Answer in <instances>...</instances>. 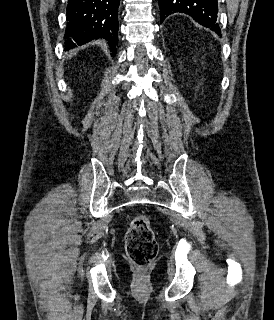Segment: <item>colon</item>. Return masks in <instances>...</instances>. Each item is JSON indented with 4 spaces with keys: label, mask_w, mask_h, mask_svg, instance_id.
<instances>
[{
    "label": "colon",
    "mask_w": 274,
    "mask_h": 320,
    "mask_svg": "<svg viewBox=\"0 0 274 320\" xmlns=\"http://www.w3.org/2000/svg\"><path fill=\"white\" fill-rule=\"evenodd\" d=\"M126 252L129 260L140 271H147L153 264L158 243L150 221L139 216L130 222L125 235Z\"/></svg>",
    "instance_id": "obj_1"
}]
</instances>
